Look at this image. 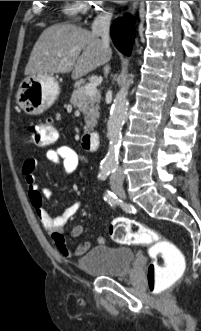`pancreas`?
Returning <instances> with one entry per match:
<instances>
[{
  "label": "pancreas",
  "instance_id": "1",
  "mask_svg": "<svg viewBox=\"0 0 201 331\" xmlns=\"http://www.w3.org/2000/svg\"><path fill=\"white\" fill-rule=\"evenodd\" d=\"M84 87L85 86H77L75 88L71 96V103L74 107H77L83 112L86 124L84 129L87 131L92 129L97 123L101 96L98 93L86 95L84 93Z\"/></svg>",
  "mask_w": 201,
  "mask_h": 331
}]
</instances>
